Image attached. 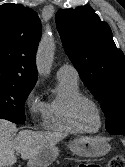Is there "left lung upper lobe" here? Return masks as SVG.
<instances>
[{
	"mask_svg": "<svg viewBox=\"0 0 125 167\" xmlns=\"http://www.w3.org/2000/svg\"><path fill=\"white\" fill-rule=\"evenodd\" d=\"M55 18L67 56L102 104L106 130L125 135V56L109 25L87 5L61 9Z\"/></svg>",
	"mask_w": 125,
	"mask_h": 167,
	"instance_id": "5c2ea615",
	"label": "left lung upper lobe"
}]
</instances>
